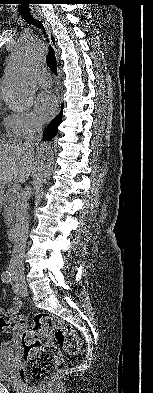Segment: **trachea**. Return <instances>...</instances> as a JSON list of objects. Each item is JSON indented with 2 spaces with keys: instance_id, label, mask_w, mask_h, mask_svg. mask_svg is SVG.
<instances>
[{
  "instance_id": "1",
  "label": "trachea",
  "mask_w": 153,
  "mask_h": 393,
  "mask_svg": "<svg viewBox=\"0 0 153 393\" xmlns=\"http://www.w3.org/2000/svg\"><path fill=\"white\" fill-rule=\"evenodd\" d=\"M21 16L23 17V19L27 23L35 25L39 28H43L42 23L39 20H36L30 13L29 14H21ZM46 62H47V66L49 67V69L54 74L57 75V67H58L57 60H56L55 52L51 47H49Z\"/></svg>"
}]
</instances>
